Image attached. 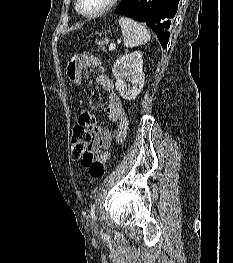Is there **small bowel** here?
I'll use <instances>...</instances> for the list:
<instances>
[{
  "label": "small bowel",
  "mask_w": 233,
  "mask_h": 263,
  "mask_svg": "<svg viewBox=\"0 0 233 263\" xmlns=\"http://www.w3.org/2000/svg\"><path fill=\"white\" fill-rule=\"evenodd\" d=\"M90 68H98L95 81L107 93L106 114L116 125L115 138L119 144H123L127 137L128 116L123 107L119 95L114 89V83L101 67L100 60L92 54H84L76 57L67 67L68 78L75 84L83 81V71ZM112 141L111 132L102 126H97L93 142L91 144V154L93 159L106 163L110 158L108 151Z\"/></svg>",
  "instance_id": "c3829d8e"
}]
</instances>
